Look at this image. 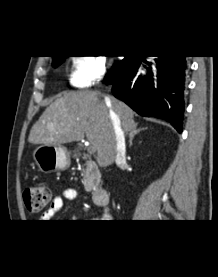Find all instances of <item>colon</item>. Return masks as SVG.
Listing matches in <instances>:
<instances>
[{
	"mask_svg": "<svg viewBox=\"0 0 218 277\" xmlns=\"http://www.w3.org/2000/svg\"><path fill=\"white\" fill-rule=\"evenodd\" d=\"M51 197V191L47 186L36 185L25 189L23 194L26 208L37 213L43 210L48 204Z\"/></svg>",
	"mask_w": 218,
	"mask_h": 277,
	"instance_id": "obj_1",
	"label": "colon"
}]
</instances>
